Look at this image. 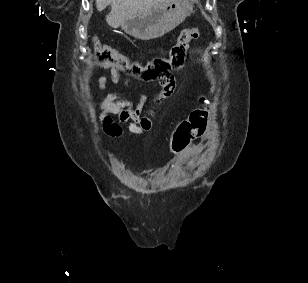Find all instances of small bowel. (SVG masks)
I'll return each mask as SVG.
<instances>
[{"label": "small bowel", "instance_id": "c3829d8e", "mask_svg": "<svg viewBox=\"0 0 308 283\" xmlns=\"http://www.w3.org/2000/svg\"><path fill=\"white\" fill-rule=\"evenodd\" d=\"M109 74L112 84L129 87V82L121 79L120 70L116 67L110 66ZM107 83V76L101 75L98 78V87L101 91L98 110L104 132L112 137L120 136L122 133L121 126L112 116H117L119 123L125 125L133 134L143 135L149 132L153 126L156 108L174 91V86L161 85V90L154 99V106L145 112L146 95H140L137 101H132L120 92L104 93Z\"/></svg>", "mask_w": 308, "mask_h": 283}]
</instances>
